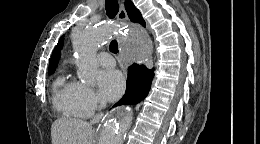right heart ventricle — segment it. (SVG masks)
Masks as SVG:
<instances>
[{"instance_id": "1", "label": "right heart ventricle", "mask_w": 260, "mask_h": 144, "mask_svg": "<svg viewBox=\"0 0 260 144\" xmlns=\"http://www.w3.org/2000/svg\"><path fill=\"white\" fill-rule=\"evenodd\" d=\"M53 104L55 109L68 118L83 117L76 100V83L65 76H59L54 82Z\"/></svg>"}]
</instances>
